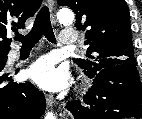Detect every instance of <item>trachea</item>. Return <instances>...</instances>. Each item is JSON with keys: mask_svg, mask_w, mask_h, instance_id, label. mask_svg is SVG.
<instances>
[{"mask_svg": "<svg viewBox=\"0 0 142 119\" xmlns=\"http://www.w3.org/2000/svg\"><path fill=\"white\" fill-rule=\"evenodd\" d=\"M42 36L48 41L55 43V35L50 22L49 9L44 6L38 12L34 25L27 35L16 34L15 40L22 43V47H33Z\"/></svg>", "mask_w": 142, "mask_h": 119, "instance_id": "3493384b", "label": "trachea"}]
</instances>
